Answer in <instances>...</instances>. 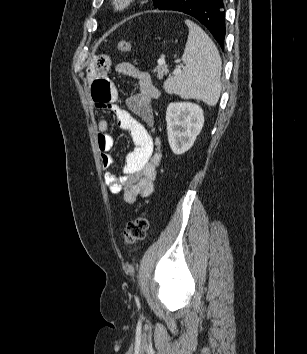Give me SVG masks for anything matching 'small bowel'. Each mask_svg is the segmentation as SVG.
I'll return each mask as SVG.
<instances>
[{"label":"small bowel","mask_w":307,"mask_h":354,"mask_svg":"<svg viewBox=\"0 0 307 354\" xmlns=\"http://www.w3.org/2000/svg\"><path fill=\"white\" fill-rule=\"evenodd\" d=\"M109 56L101 54L95 57L88 66L87 78L92 82L91 95L96 107L108 109L115 117L118 126L127 131L133 141L134 149L125 158V164L119 177L106 172L105 183L112 193H122L128 204H134L139 197H149L154 191L160 163V154H154V116L153 100L159 97V90L155 87L150 74L137 68L131 63L121 62L116 71L134 79L139 91L125 99V108L117 103L119 94L116 87L106 77L110 69ZM97 142L101 155V164L104 170H109L114 159L110 153L114 139L108 132L109 122L105 117L97 123Z\"/></svg>","instance_id":"c3829d8e"}]
</instances>
